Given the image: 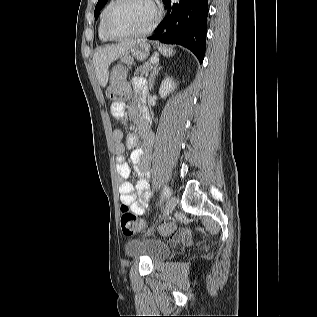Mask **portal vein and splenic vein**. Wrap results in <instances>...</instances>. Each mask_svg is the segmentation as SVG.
I'll list each match as a JSON object with an SVG mask.
<instances>
[{"label":"portal vein and splenic vein","instance_id":"1","mask_svg":"<svg viewBox=\"0 0 317 317\" xmlns=\"http://www.w3.org/2000/svg\"><path fill=\"white\" fill-rule=\"evenodd\" d=\"M159 61V59L158 58H153V59H151V63H153V64H155V63H157Z\"/></svg>","mask_w":317,"mask_h":317}]
</instances>
